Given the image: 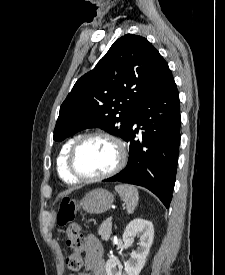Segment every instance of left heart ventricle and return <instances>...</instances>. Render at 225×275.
Instances as JSON below:
<instances>
[{
  "label": "left heart ventricle",
  "instance_id": "left-heart-ventricle-1",
  "mask_svg": "<svg viewBox=\"0 0 225 275\" xmlns=\"http://www.w3.org/2000/svg\"><path fill=\"white\" fill-rule=\"evenodd\" d=\"M117 161L115 145L105 139L87 140L79 148L75 157V167L82 175H100L110 171Z\"/></svg>",
  "mask_w": 225,
  "mask_h": 275
}]
</instances>
